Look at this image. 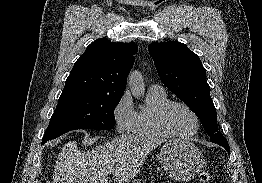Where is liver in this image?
<instances>
[{"label":"liver","mask_w":262,"mask_h":183,"mask_svg":"<svg viewBox=\"0 0 262 183\" xmlns=\"http://www.w3.org/2000/svg\"><path fill=\"white\" fill-rule=\"evenodd\" d=\"M163 139L120 135L88 152H81L77 142H68L56 160L52 183H128L140 171L146 156Z\"/></svg>","instance_id":"1"}]
</instances>
